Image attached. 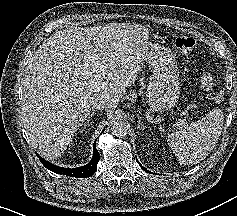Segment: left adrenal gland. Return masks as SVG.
Returning <instances> with one entry per match:
<instances>
[{
    "mask_svg": "<svg viewBox=\"0 0 237 216\" xmlns=\"http://www.w3.org/2000/svg\"><path fill=\"white\" fill-rule=\"evenodd\" d=\"M137 128L139 129H145V125L142 123V116H138V121H137Z\"/></svg>",
    "mask_w": 237,
    "mask_h": 216,
    "instance_id": "left-adrenal-gland-1",
    "label": "left adrenal gland"
}]
</instances>
